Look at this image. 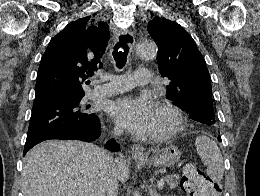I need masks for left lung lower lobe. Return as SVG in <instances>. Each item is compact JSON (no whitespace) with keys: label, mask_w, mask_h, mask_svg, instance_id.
Segmentation results:
<instances>
[{"label":"left lung lower lobe","mask_w":260,"mask_h":196,"mask_svg":"<svg viewBox=\"0 0 260 196\" xmlns=\"http://www.w3.org/2000/svg\"><path fill=\"white\" fill-rule=\"evenodd\" d=\"M191 119L203 124L211 123L215 120V115L212 107L196 106L194 111L190 113ZM218 140L221 141L220 136Z\"/></svg>","instance_id":"left-lung-lower-lobe-1"}]
</instances>
